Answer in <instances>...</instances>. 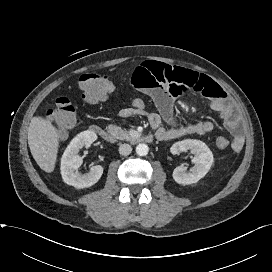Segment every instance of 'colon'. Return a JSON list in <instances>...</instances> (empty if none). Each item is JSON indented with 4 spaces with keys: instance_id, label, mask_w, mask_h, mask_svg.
Here are the masks:
<instances>
[{
    "instance_id": "5ec220e1",
    "label": "colon",
    "mask_w": 272,
    "mask_h": 272,
    "mask_svg": "<svg viewBox=\"0 0 272 272\" xmlns=\"http://www.w3.org/2000/svg\"><path fill=\"white\" fill-rule=\"evenodd\" d=\"M78 87L85 101L98 102L108 97L114 89V84L111 77L105 73L89 72L80 76ZM131 107L142 110L145 108V102L140 98H134L131 101ZM48 118L62 134L74 127L77 122V114L71 99L67 96H60L49 111ZM215 143L219 149H225L230 145L229 140L223 136L218 137Z\"/></svg>"
}]
</instances>
